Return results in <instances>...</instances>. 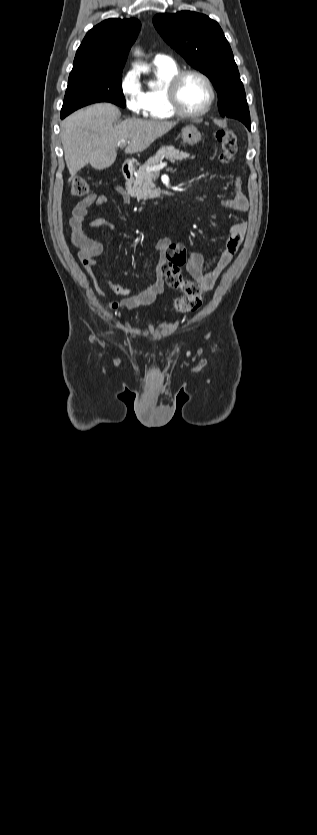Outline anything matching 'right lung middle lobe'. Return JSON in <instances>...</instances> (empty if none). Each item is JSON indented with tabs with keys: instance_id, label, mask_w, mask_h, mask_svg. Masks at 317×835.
<instances>
[{
	"instance_id": "right-lung-middle-lobe-1",
	"label": "right lung middle lobe",
	"mask_w": 317,
	"mask_h": 835,
	"mask_svg": "<svg viewBox=\"0 0 317 835\" xmlns=\"http://www.w3.org/2000/svg\"><path fill=\"white\" fill-rule=\"evenodd\" d=\"M121 73L122 70L108 68L73 69L69 75L61 114L68 115L96 102H111L125 107Z\"/></svg>"
}]
</instances>
